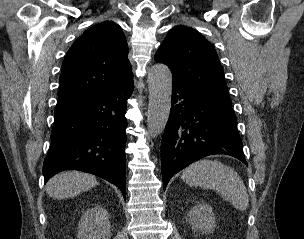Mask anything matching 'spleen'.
<instances>
[{
  "label": "spleen",
  "instance_id": "3e777b00",
  "mask_svg": "<svg viewBox=\"0 0 304 239\" xmlns=\"http://www.w3.org/2000/svg\"><path fill=\"white\" fill-rule=\"evenodd\" d=\"M181 179L190 186L219 192L224 200L240 211L248 206L249 196L241 177L233 168L219 161L199 160L183 171Z\"/></svg>",
  "mask_w": 304,
  "mask_h": 239
}]
</instances>
